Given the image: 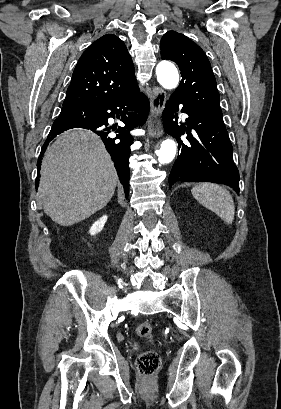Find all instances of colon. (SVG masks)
<instances>
[{
	"label": "colon",
	"instance_id": "obj_1",
	"mask_svg": "<svg viewBox=\"0 0 281 409\" xmlns=\"http://www.w3.org/2000/svg\"><path fill=\"white\" fill-rule=\"evenodd\" d=\"M136 333L148 340L149 344H153L154 342V335L152 330V325L149 323H140L136 326ZM160 364L159 356L153 351H146L142 353L138 360L137 366L138 369L146 374H150L151 372L155 371Z\"/></svg>",
	"mask_w": 281,
	"mask_h": 409
}]
</instances>
